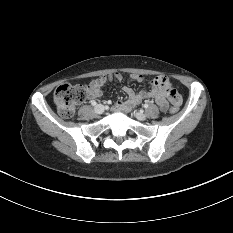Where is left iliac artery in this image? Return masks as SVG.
Wrapping results in <instances>:
<instances>
[{
	"label": "left iliac artery",
	"instance_id": "obj_1",
	"mask_svg": "<svg viewBox=\"0 0 233 233\" xmlns=\"http://www.w3.org/2000/svg\"><path fill=\"white\" fill-rule=\"evenodd\" d=\"M143 107H144V108H147V107H148V104H144Z\"/></svg>",
	"mask_w": 233,
	"mask_h": 233
}]
</instances>
